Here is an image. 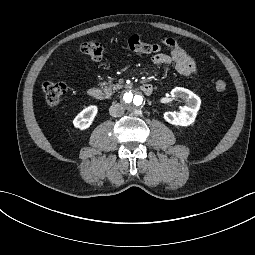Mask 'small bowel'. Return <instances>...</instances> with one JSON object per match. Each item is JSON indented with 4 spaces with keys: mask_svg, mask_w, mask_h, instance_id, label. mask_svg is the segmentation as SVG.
<instances>
[{
    "mask_svg": "<svg viewBox=\"0 0 255 255\" xmlns=\"http://www.w3.org/2000/svg\"><path fill=\"white\" fill-rule=\"evenodd\" d=\"M165 44L170 47V53H157L153 55L152 62L155 65L174 67L175 70L183 76L197 73V64L192 56L178 47L172 40H166Z\"/></svg>",
    "mask_w": 255,
    "mask_h": 255,
    "instance_id": "small-bowel-1",
    "label": "small bowel"
}]
</instances>
